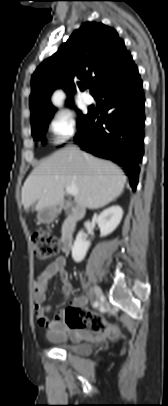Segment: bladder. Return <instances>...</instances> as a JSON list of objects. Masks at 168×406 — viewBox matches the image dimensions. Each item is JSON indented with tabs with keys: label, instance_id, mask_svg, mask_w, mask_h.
<instances>
[{
	"label": "bladder",
	"instance_id": "obj_1",
	"mask_svg": "<svg viewBox=\"0 0 168 406\" xmlns=\"http://www.w3.org/2000/svg\"><path fill=\"white\" fill-rule=\"evenodd\" d=\"M59 345L62 349L72 352L77 355L85 356L91 353L92 347L90 344L85 342H74L68 343L65 341L62 342H54Z\"/></svg>",
	"mask_w": 168,
	"mask_h": 406
}]
</instances>
